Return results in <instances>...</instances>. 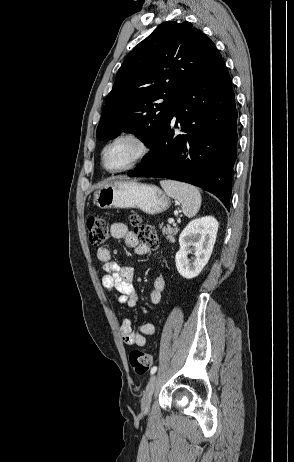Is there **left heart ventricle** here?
<instances>
[{
    "label": "left heart ventricle",
    "mask_w": 294,
    "mask_h": 462,
    "mask_svg": "<svg viewBox=\"0 0 294 462\" xmlns=\"http://www.w3.org/2000/svg\"><path fill=\"white\" fill-rule=\"evenodd\" d=\"M138 150V146L133 141L120 140L107 149L105 164L110 169L123 167L136 156Z\"/></svg>",
    "instance_id": "b2bd125f"
}]
</instances>
